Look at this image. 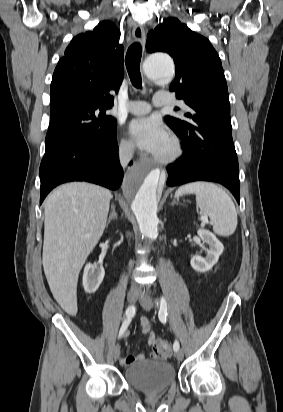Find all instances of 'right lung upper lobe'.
<instances>
[{
	"mask_svg": "<svg viewBox=\"0 0 283 412\" xmlns=\"http://www.w3.org/2000/svg\"><path fill=\"white\" fill-rule=\"evenodd\" d=\"M120 32L109 22L72 39L56 66L51 82V115L63 114L74 104L111 108L122 83L123 46Z\"/></svg>",
	"mask_w": 283,
	"mask_h": 412,
	"instance_id": "obj_1",
	"label": "right lung upper lobe"
}]
</instances>
